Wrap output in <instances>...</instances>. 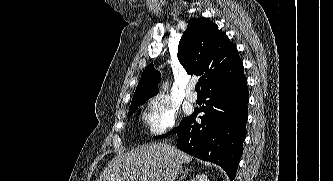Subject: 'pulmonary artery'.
Segmentation results:
<instances>
[{"mask_svg":"<svg viewBox=\"0 0 333 181\" xmlns=\"http://www.w3.org/2000/svg\"><path fill=\"white\" fill-rule=\"evenodd\" d=\"M186 99L190 102H195L197 100V95L193 92V86H189V90L186 92Z\"/></svg>","mask_w":333,"mask_h":181,"instance_id":"1","label":"pulmonary artery"}]
</instances>
